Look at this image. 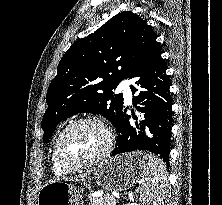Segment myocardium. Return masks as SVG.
I'll list each match as a JSON object with an SVG mask.
<instances>
[{
	"label": "myocardium",
	"instance_id": "obj_1",
	"mask_svg": "<svg viewBox=\"0 0 222 205\" xmlns=\"http://www.w3.org/2000/svg\"><path fill=\"white\" fill-rule=\"evenodd\" d=\"M82 124H90V125H95V126L99 127L105 134V137H106L105 145H104L103 149L98 154H96L94 157H92L86 161H82V162H78V163H69L63 158V156L61 154V149H60L61 143H62V140L64 139L65 135L70 130H72L76 126L82 125ZM112 147H113V134H112V131L110 130V128L107 126V124L97 118L83 117V118H79V119H76L73 122H71L59 134V136L56 139L55 145H54V156H55L56 161L58 162V164L61 167H63L66 170H69V171H74V170L84 169V168L90 167L92 165H95V164L101 162L109 155V153L112 150Z\"/></svg>",
	"mask_w": 222,
	"mask_h": 205
}]
</instances>
